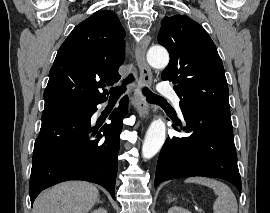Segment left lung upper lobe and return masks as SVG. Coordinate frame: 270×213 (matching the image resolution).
Wrapping results in <instances>:
<instances>
[{"label":"left lung upper lobe","mask_w":270,"mask_h":213,"mask_svg":"<svg viewBox=\"0 0 270 213\" xmlns=\"http://www.w3.org/2000/svg\"><path fill=\"white\" fill-rule=\"evenodd\" d=\"M158 43L169 52L162 79L172 81L184 109L230 112L228 84L217 49L201 25L186 15L162 20Z\"/></svg>","instance_id":"obj_1"}]
</instances>
